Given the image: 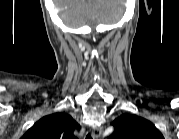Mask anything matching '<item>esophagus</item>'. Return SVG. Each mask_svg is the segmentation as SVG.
<instances>
[{"label": "esophagus", "instance_id": "obj_1", "mask_svg": "<svg viewBox=\"0 0 179 139\" xmlns=\"http://www.w3.org/2000/svg\"><path fill=\"white\" fill-rule=\"evenodd\" d=\"M102 132H103L102 127H95L92 130V137L94 139H99L101 137V135H102Z\"/></svg>", "mask_w": 179, "mask_h": 139}]
</instances>
